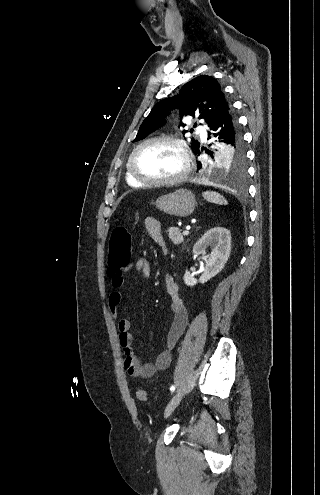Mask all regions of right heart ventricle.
I'll list each match as a JSON object with an SVG mask.
<instances>
[{
    "mask_svg": "<svg viewBox=\"0 0 320 495\" xmlns=\"http://www.w3.org/2000/svg\"><path fill=\"white\" fill-rule=\"evenodd\" d=\"M125 178H126V181L127 183L132 186V187H142V184H140L139 182H137L132 176L131 174L129 173V170H128V162L126 164V170H125Z\"/></svg>",
    "mask_w": 320,
    "mask_h": 495,
    "instance_id": "right-heart-ventricle-1",
    "label": "right heart ventricle"
}]
</instances>
